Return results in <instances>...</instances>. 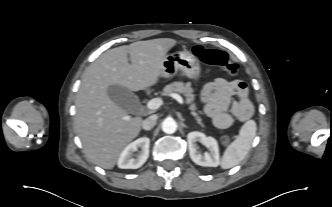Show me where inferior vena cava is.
I'll return each instance as SVG.
<instances>
[{
  "label": "inferior vena cava",
  "instance_id": "1",
  "mask_svg": "<svg viewBox=\"0 0 332 207\" xmlns=\"http://www.w3.org/2000/svg\"><path fill=\"white\" fill-rule=\"evenodd\" d=\"M157 116L151 115L142 121V128L144 130H151L156 124Z\"/></svg>",
  "mask_w": 332,
  "mask_h": 207
}]
</instances>
